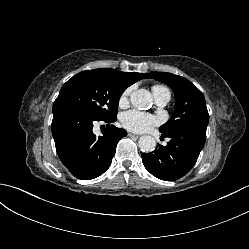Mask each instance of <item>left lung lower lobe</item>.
<instances>
[{"label":"left lung lower lobe","mask_w":249,"mask_h":249,"mask_svg":"<svg viewBox=\"0 0 249 249\" xmlns=\"http://www.w3.org/2000/svg\"><path fill=\"white\" fill-rule=\"evenodd\" d=\"M162 136L170 138L167 145H157L154 151L142 153V162L153 176L174 181L187 174L196 163L205 144L206 128H181Z\"/></svg>","instance_id":"left-lung-lower-lobe-1"}]
</instances>
